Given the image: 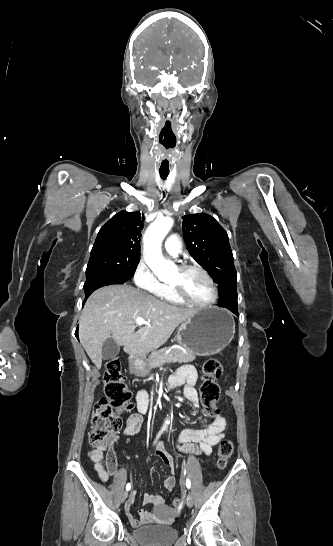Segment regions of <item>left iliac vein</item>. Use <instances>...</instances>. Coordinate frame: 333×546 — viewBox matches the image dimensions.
Here are the masks:
<instances>
[{
    "instance_id": "obj_1",
    "label": "left iliac vein",
    "mask_w": 333,
    "mask_h": 546,
    "mask_svg": "<svg viewBox=\"0 0 333 546\" xmlns=\"http://www.w3.org/2000/svg\"><path fill=\"white\" fill-rule=\"evenodd\" d=\"M186 504L188 507H192L193 506V498L190 494H188L187 498H186Z\"/></svg>"
}]
</instances>
